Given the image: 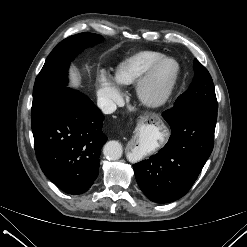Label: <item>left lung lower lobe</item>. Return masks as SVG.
<instances>
[{"label": "left lung lower lobe", "mask_w": 247, "mask_h": 247, "mask_svg": "<svg viewBox=\"0 0 247 247\" xmlns=\"http://www.w3.org/2000/svg\"><path fill=\"white\" fill-rule=\"evenodd\" d=\"M162 116L171 127L168 143L133 169L140 189L150 200L168 203L189 191L210 156L217 109L188 101Z\"/></svg>", "instance_id": "1"}]
</instances>
